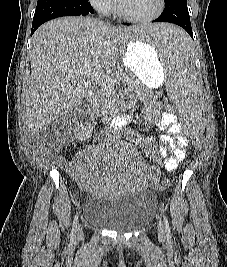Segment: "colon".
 Returning <instances> with one entry per match:
<instances>
[{"label":"colon","instance_id":"5ec220e1","mask_svg":"<svg viewBox=\"0 0 227 267\" xmlns=\"http://www.w3.org/2000/svg\"><path fill=\"white\" fill-rule=\"evenodd\" d=\"M164 108L167 109V113H170V115L178 112V109L175 108L174 104H165ZM67 138L68 131L65 125L61 122H53L39 133L37 142L39 146L49 152H56L61 149ZM194 158L195 150L188 151V153L181 155L178 160V166H176V173H179V171H189V164L192 163ZM153 191L165 192L166 188L154 187Z\"/></svg>","mask_w":227,"mask_h":267}]
</instances>
